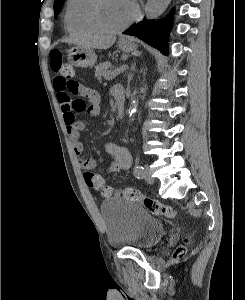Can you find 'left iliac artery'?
Wrapping results in <instances>:
<instances>
[{"mask_svg":"<svg viewBox=\"0 0 245 300\" xmlns=\"http://www.w3.org/2000/svg\"><path fill=\"white\" fill-rule=\"evenodd\" d=\"M143 170L144 167L143 166H136L134 169V175L138 178V179H142L143 178Z\"/></svg>","mask_w":245,"mask_h":300,"instance_id":"left-iliac-artery-1","label":"left iliac artery"}]
</instances>
